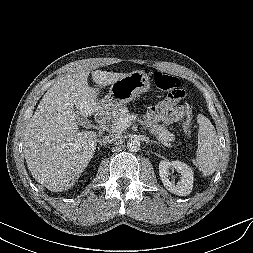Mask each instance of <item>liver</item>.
Masks as SVG:
<instances>
[{
    "label": "liver",
    "mask_w": 253,
    "mask_h": 253,
    "mask_svg": "<svg viewBox=\"0 0 253 253\" xmlns=\"http://www.w3.org/2000/svg\"><path fill=\"white\" fill-rule=\"evenodd\" d=\"M89 74L87 69L78 70L55 82L40 100L25 129L28 169L37 182L53 192L71 188L95 153L96 132H80L76 122L78 115L87 117L102 111L98 90L88 85ZM125 75L96 70L92 79L100 86H107Z\"/></svg>",
    "instance_id": "obj_1"
}]
</instances>
